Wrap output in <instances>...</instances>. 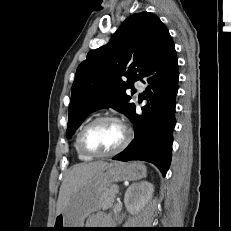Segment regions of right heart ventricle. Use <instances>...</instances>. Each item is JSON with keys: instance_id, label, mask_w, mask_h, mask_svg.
<instances>
[{"instance_id": "1", "label": "right heart ventricle", "mask_w": 231, "mask_h": 231, "mask_svg": "<svg viewBox=\"0 0 231 231\" xmlns=\"http://www.w3.org/2000/svg\"><path fill=\"white\" fill-rule=\"evenodd\" d=\"M83 127H84V126H82V127L77 131V133H76V135H75V139H74V148H75V152H76V154H77V156H78V158H79L80 160H82V161H89V160H91L92 158L89 157V156H87V155H85V154H83V153L80 151L79 146H78L79 134H80V131H81V129H82Z\"/></svg>"}]
</instances>
